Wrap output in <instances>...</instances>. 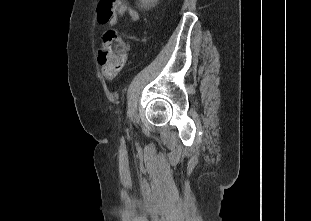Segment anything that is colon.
Returning <instances> with one entry per match:
<instances>
[{
	"label": "colon",
	"instance_id": "colon-1",
	"mask_svg": "<svg viewBox=\"0 0 311 221\" xmlns=\"http://www.w3.org/2000/svg\"><path fill=\"white\" fill-rule=\"evenodd\" d=\"M119 0H102L98 6L99 15L96 20L99 26H104L108 17H114ZM99 58L102 64V73L107 81H113L122 71L125 65L126 49L123 42L119 40L118 33L114 30H107L102 46L99 48Z\"/></svg>",
	"mask_w": 311,
	"mask_h": 221
}]
</instances>
